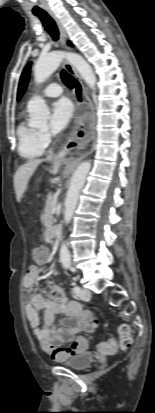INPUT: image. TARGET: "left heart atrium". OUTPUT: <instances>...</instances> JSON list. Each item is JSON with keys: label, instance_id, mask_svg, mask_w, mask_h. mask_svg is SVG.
Masks as SVG:
<instances>
[{"label": "left heart atrium", "instance_id": "1", "mask_svg": "<svg viewBox=\"0 0 155 413\" xmlns=\"http://www.w3.org/2000/svg\"><path fill=\"white\" fill-rule=\"evenodd\" d=\"M73 116V106L67 99H60L52 106L51 129L54 133L64 130Z\"/></svg>", "mask_w": 155, "mask_h": 413}]
</instances>
